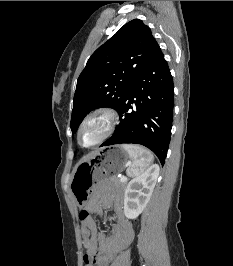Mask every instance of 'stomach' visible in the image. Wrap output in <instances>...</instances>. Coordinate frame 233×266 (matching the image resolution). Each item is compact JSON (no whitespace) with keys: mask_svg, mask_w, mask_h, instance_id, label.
Here are the masks:
<instances>
[{"mask_svg":"<svg viewBox=\"0 0 233 266\" xmlns=\"http://www.w3.org/2000/svg\"><path fill=\"white\" fill-rule=\"evenodd\" d=\"M130 157L122 146L98 147L88 161L80 163L74 170L70 191L79 207L86 204L91 189L100 185V180H112V176L124 172Z\"/></svg>","mask_w":233,"mask_h":266,"instance_id":"0dacf381","label":"stomach"}]
</instances>
